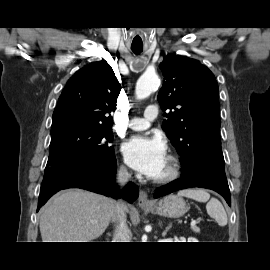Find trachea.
Listing matches in <instances>:
<instances>
[{
  "label": "trachea",
  "mask_w": 270,
  "mask_h": 270,
  "mask_svg": "<svg viewBox=\"0 0 270 270\" xmlns=\"http://www.w3.org/2000/svg\"><path fill=\"white\" fill-rule=\"evenodd\" d=\"M131 49L135 54H140L143 51V49H138V48H131Z\"/></svg>",
  "instance_id": "3493384b"
}]
</instances>
